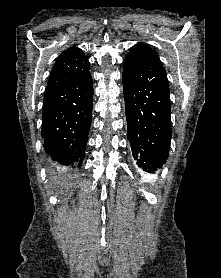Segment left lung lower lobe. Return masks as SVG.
<instances>
[{"mask_svg": "<svg viewBox=\"0 0 221 278\" xmlns=\"http://www.w3.org/2000/svg\"><path fill=\"white\" fill-rule=\"evenodd\" d=\"M128 140L134 159L146 172L161 168L171 142L169 84L163 66L149 63L138 67L124 63Z\"/></svg>", "mask_w": 221, "mask_h": 278, "instance_id": "0a47b994", "label": "left lung lower lobe"}]
</instances>
